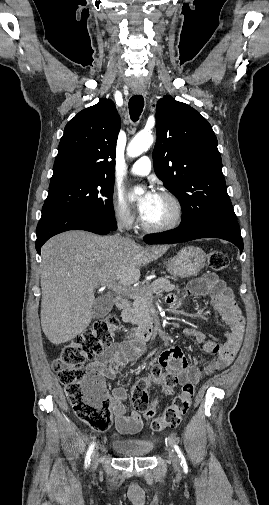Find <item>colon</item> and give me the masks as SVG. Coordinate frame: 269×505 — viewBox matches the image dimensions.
<instances>
[{"mask_svg":"<svg viewBox=\"0 0 269 505\" xmlns=\"http://www.w3.org/2000/svg\"><path fill=\"white\" fill-rule=\"evenodd\" d=\"M208 264L215 271L225 270L229 266L227 254L220 250L209 253ZM118 327V320L111 316L99 320L92 327L79 334L72 342L66 344L59 356L53 361L52 368L60 382L65 386L67 399L77 417L96 431H106L112 424V415L103 378L87 372L84 364L95 359L104 349L110 347ZM152 382L161 383L167 393L177 385L174 377L151 370L148 377L140 379L134 387L132 401L135 408L143 413L146 419H152L153 431L161 432L177 426L189 410L196 387L193 383L182 386L176 395L156 418L154 409L149 404L147 388Z\"/></svg>","mask_w":269,"mask_h":505,"instance_id":"1","label":"colon"}]
</instances>
